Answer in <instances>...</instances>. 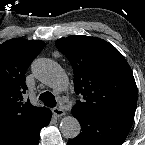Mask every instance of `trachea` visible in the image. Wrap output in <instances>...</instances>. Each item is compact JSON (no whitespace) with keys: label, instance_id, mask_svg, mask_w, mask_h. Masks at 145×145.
<instances>
[{"label":"trachea","instance_id":"3493384b","mask_svg":"<svg viewBox=\"0 0 145 145\" xmlns=\"http://www.w3.org/2000/svg\"><path fill=\"white\" fill-rule=\"evenodd\" d=\"M39 99L45 104L47 107H55L56 100L52 93L44 92L40 95Z\"/></svg>","mask_w":145,"mask_h":145}]
</instances>
